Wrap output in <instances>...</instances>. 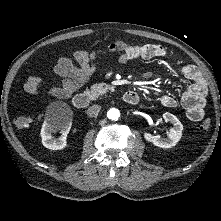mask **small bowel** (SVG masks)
<instances>
[{
    "mask_svg": "<svg viewBox=\"0 0 221 221\" xmlns=\"http://www.w3.org/2000/svg\"><path fill=\"white\" fill-rule=\"evenodd\" d=\"M108 53H117L121 63L167 56L166 49L160 45L129 44L122 40L114 41L100 50H77L72 57H63L58 60L53 68L56 85L48 89L46 93L61 98L71 97L86 84L95 72L97 59ZM178 69L190 82L182 91L181 105L190 120L200 121L205 114L207 83L200 70L194 65H182ZM159 102L169 108L178 105V101L168 94H162Z\"/></svg>",
    "mask_w": 221,
    "mask_h": 221,
    "instance_id": "1",
    "label": "small bowel"
}]
</instances>
